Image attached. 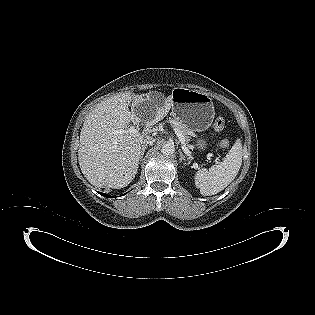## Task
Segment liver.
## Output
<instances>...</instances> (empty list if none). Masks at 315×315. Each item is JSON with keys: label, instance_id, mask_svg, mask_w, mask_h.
Returning <instances> with one entry per match:
<instances>
[{"label": "liver", "instance_id": "6515ba94", "mask_svg": "<svg viewBox=\"0 0 315 315\" xmlns=\"http://www.w3.org/2000/svg\"><path fill=\"white\" fill-rule=\"evenodd\" d=\"M149 99V94H117L99 103L87 115L80 133L78 160L82 173L92 185L120 189L134 179L144 134L161 121L172 106V98L168 96L162 106L154 109L142 133H130V122L141 121L135 112H130V102L137 106ZM119 130L123 133H116Z\"/></svg>", "mask_w": 315, "mask_h": 315}]
</instances>
